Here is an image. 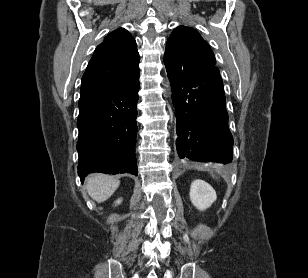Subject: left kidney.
Segmentation results:
<instances>
[{
    "mask_svg": "<svg viewBox=\"0 0 308 278\" xmlns=\"http://www.w3.org/2000/svg\"><path fill=\"white\" fill-rule=\"evenodd\" d=\"M217 199L215 190L205 181L194 180L190 187V200L200 211L209 208Z\"/></svg>",
    "mask_w": 308,
    "mask_h": 278,
    "instance_id": "obj_1",
    "label": "left kidney"
}]
</instances>
